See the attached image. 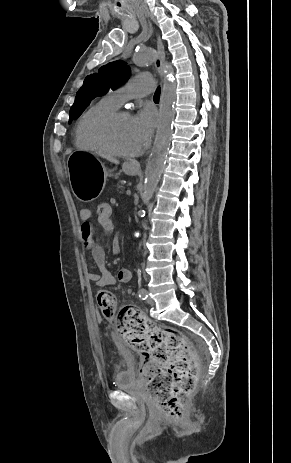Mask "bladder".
<instances>
[{"instance_id":"31cf9c89","label":"bladder","mask_w":291,"mask_h":463,"mask_svg":"<svg viewBox=\"0 0 291 463\" xmlns=\"http://www.w3.org/2000/svg\"><path fill=\"white\" fill-rule=\"evenodd\" d=\"M133 357L123 356L120 361V368L115 375V386L117 388H130L136 385V378L132 371Z\"/></svg>"}]
</instances>
